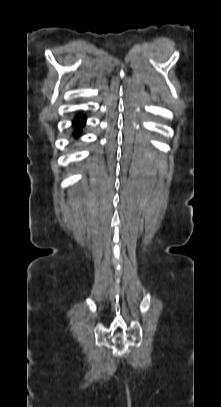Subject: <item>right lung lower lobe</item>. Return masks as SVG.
Segmentation results:
<instances>
[{"label":"right lung lower lobe","mask_w":221,"mask_h":407,"mask_svg":"<svg viewBox=\"0 0 221 407\" xmlns=\"http://www.w3.org/2000/svg\"><path fill=\"white\" fill-rule=\"evenodd\" d=\"M85 121H86V118L81 116V115H78L75 118V120L73 121V126L76 128L75 130H76V133H77L76 137H78L80 135L81 128H82V126H84Z\"/></svg>","instance_id":"right-lung-lower-lobe-1"}]
</instances>
